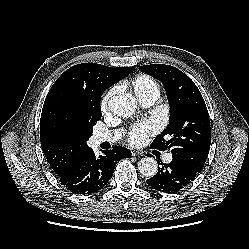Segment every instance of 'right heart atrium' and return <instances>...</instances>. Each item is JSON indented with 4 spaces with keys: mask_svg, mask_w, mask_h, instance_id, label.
I'll return each mask as SVG.
<instances>
[{
    "mask_svg": "<svg viewBox=\"0 0 249 249\" xmlns=\"http://www.w3.org/2000/svg\"><path fill=\"white\" fill-rule=\"evenodd\" d=\"M116 87L110 88L101 98L100 101V110L103 114H105L108 111V106L111 98L116 93Z\"/></svg>",
    "mask_w": 249,
    "mask_h": 249,
    "instance_id": "obj_1",
    "label": "right heart atrium"
}]
</instances>
